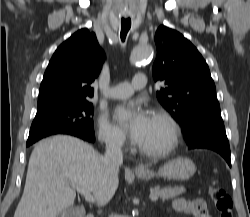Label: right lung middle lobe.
Returning a JSON list of instances; mask_svg holds the SVG:
<instances>
[{
	"instance_id": "1",
	"label": "right lung middle lobe",
	"mask_w": 250,
	"mask_h": 217,
	"mask_svg": "<svg viewBox=\"0 0 250 217\" xmlns=\"http://www.w3.org/2000/svg\"><path fill=\"white\" fill-rule=\"evenodd\" d=\"M93 104L88 100L75 101L37 110L26 146L54 134H68L87 141L95 140Z\"/></svg>"
}]
</instances>
